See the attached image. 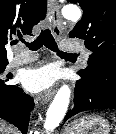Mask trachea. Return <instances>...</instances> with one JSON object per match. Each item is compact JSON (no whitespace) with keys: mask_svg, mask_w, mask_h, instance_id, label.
I'll return each mask as SVG.
<instances>
[{"mask_svg":"<svg viewBox=\"0 0 116 134\" xmlns=\"http://www.w3.org/2000/svg\"><path fill=\"white\" fill-rule=\"evenodd\" d=\"M20 40L25 43L23 39ZM13 44H17V41H14ZM26 46L29 47V49L32 51H36L42 46H46L51 51L56 52L60 57L77 56L76 54L64 53L62 51H59L57 43L55 42V39L53 38L49 29L42 30L40 35L32 43H26Z\"/></svg>","mask_w":116,"mask_h":134,"instance_id":"1","label":"trachea"}]
</instances>
